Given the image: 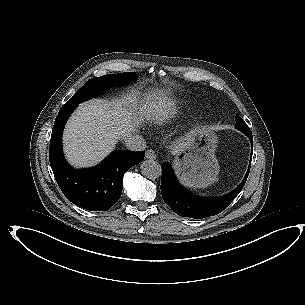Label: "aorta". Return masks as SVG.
<instances>
[{"mask_svg": "<svg viewBox=\"0 0 305 305\" xmlns=\"http://www.w3.org/2000/svg\"><path fill=\"white\" fill-rule=\"evenodd\" d=\"M141 173L144 177L154 180L162 174L161 165L154 160H144L140 165Z\"/></svg>", "mask_w": 305, "mask_h": 305, "instance_id": "aorta-1", "label": "aorta"}]
</instances>
